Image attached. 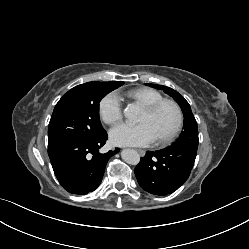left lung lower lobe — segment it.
Instances as JSON below:
<instances>
[{
  "instance_id": "0a47b994",
  "label": "left lung lower lobe",
  "mask_w": 249,
  "mask_h": 249,
  "mask_svg": "<svg viewBox=\"0 0 249 249\" xmlns=\"http://www.w3.org/2000/svg\"><path fill=\"white\" fill-rule=\"evenodd\" d=\"M197 154L194 147H167L147 151L135 168L140 186L154 195L177 190L189 177Z\"/></svg>"
}]
</instances>
